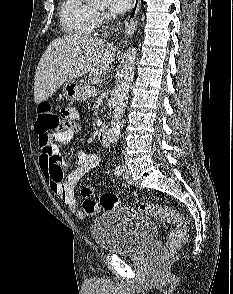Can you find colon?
<instances>
[{
	"mask_svg": "<svg viewBox=\"0 0 233 294\" xmlns=\"http://www.w3.org/2000/svg\"><path fill=\"white\" fill-rule=\"evenodd\" d=\"M61 115L57 114L48 103H42L37 111V119L35 122V132L39 137L40 149H51L56 134L65 131L60 129ZM46 156H54L53 154H45ZM119 204L118 197L113 193H105L101 195L99 205L110 210ZM142 212L150 215L162 222L171 223L175 228L170 232L166 245L161 249L159 258L165 260L170 253L182 245L187 238L186 221L178 212L168 206L158 205L150 202H144L139 205Z\"/></svg>",
	"mask_w": 233,
	"mask_h": 294,
	"instance_id": "5ec220e1",
	"label": "colon"
}]
</instances>
